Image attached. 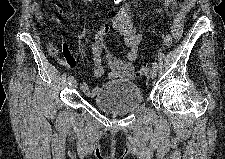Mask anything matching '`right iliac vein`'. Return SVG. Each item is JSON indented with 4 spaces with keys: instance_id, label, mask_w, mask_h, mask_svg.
Listing matches in <instances>:
<instances>
[{
    "instance_id": "right-iliac-vein-1",
    "label": "right iliac vein",
    "mask_w": 225,
    "mask_h": 159,
    "mask_svg": "<svg viewBox=\"0 0 225 159\" xmlns=\"http://www.w3.org/2000/svg\"><path fill=\"white\" fill-rule=\"evenodd\" d=\"M70 87H71V89H75L77 87V81L74 77L70 82Z\"/></svg>"
}]
</instances>
